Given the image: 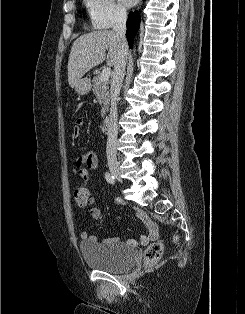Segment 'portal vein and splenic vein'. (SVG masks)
Instances as JSON below:
<instances>
[{
  "label": "portal vein and splenic vein",
  "instance_id": "portal-vein-and-splenic-vein-1",
  "mask_svg": "<svg viewBox=\"0 0 245 314\" xmlns=\"http://www.w3.org/2000/svg\"><path fill=\"white\" fill-rule=\"evenodd\" d=\"M110 75H111V68L110 67H105L102 70V73L100 75L101 81H103V82L108 81Z\"/></svg>",
  "mask_w": 245,
  "mask_h": 314
}]
</instances>
